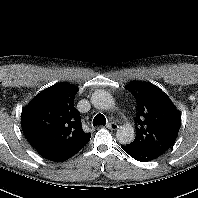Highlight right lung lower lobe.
Instances as JSON below:
<instances>
[{
    "instance_id": "98d812e1",
    "label": "right lung lower lobe",
    "mask_w": 198,
    "mask_h": 198,
    "mask_svg": "<svg viewBox=\"0 0 198 198\" xmlns=\"http://www.w3.org/2000/svg\"><path fill=\"white\" fill-rule=\"evenodd\" d=\"M89 142V141H88ZM88 142L81 144V145H77L68 149H64V150H58V151H38V153L51 161L54 162H62L65 161L69 158H71L72 156H74L77 152H79Z\"/></svg>"
}]
</instances>
